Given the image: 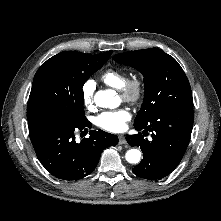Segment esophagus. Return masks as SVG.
I'll return each instance as SVG.
<instances>
[{"mask_svg": "<svg viewBox=\"0 0 221 221\" xmlns=\"http://www.w3.org/2000/svg\"><path fill=\"white\" fill-rule=\"evenodd\" d=\"M118 138H119V144L121 145L126 144V139L123 135H119Z\"/></svg>", "mask_w": 221, "mask_h": 221, "instance_id": "esophagus-1", "label": "esophagus"}]
</instances>
